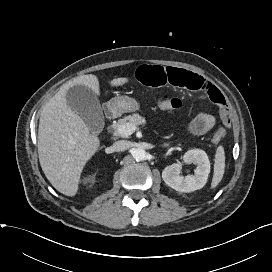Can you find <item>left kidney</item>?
<instances>
[{
  "mask_svg": "<svg viewBox=\"0 0 272 272\" xmlns=\"http://www.w3.org/2000/svg\"><path fill=\"white\" fill-rule=\"evenodd\" d=\"M186 164L196 165L195 174L185 177L180 175L181 166L174 163L162 172L164 182L178 192H193L205 186L210 173V161L205 151L191 149L183 156Z\"/></svg>",
  "mask_w": 272,
  "mask_h": 272,
  "instance_id": "left-kidney-1",
  "label": "left kidney"
}]
</instances>
